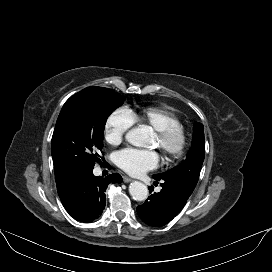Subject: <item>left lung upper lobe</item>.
I'll list each match as a JSON object with an SVG mask.
<instances>
[{
    "label": "left lung upper lobe",
    "instance_id": "obj_1",
    "mask_svg": "<svg viewBox=\"0 0 272 272\" xmlns=\"http://www.w3.org/2000/svg\"><path fill=\"white\" fill-rule=\"evenodd\" d=\"M205 155V138L203 124L196 122L193 125L192 146L187 157L181 164L167 172L154 174V177L181 182L194 189L198 179Z\"/></svg>",
    "mask_w": 272,
    "mask_h": 272
}]
</instances>
